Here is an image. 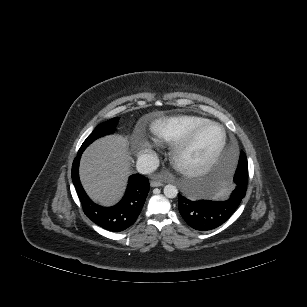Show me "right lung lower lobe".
<instances>
[{"label":"right lung lower lobe","instance_id":"right-lung-lower-lobe-1","mask_svg":"<svg viewBox=\"0 0 307 307\" xmlns=\"http://www.w3.org/2000/svg\"><path fill=\"white\" fill-rule=\"evenodd\" d=\"M82 150L78 151L72 165V181L76 188L84 213L98 226L120 232L131 226L139 216L147 194L149 181L141 174L130 176L126 193L122 200L113 207H102L89 199L79 180V162Z\"/></svg>","mask_w":307,"mask_h":307}]
</instances>
